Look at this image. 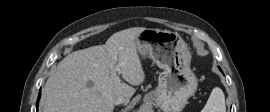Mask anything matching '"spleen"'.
I'll use <instances>...</instances> for the list:
<instances>
[{"instance_id": "obj_1", "label": "spleen", "mask_w": 270, "mask_h": 112, "mask_svg": "<svg viewBox=\"0 0 270 112\" xmlns=\"http://www.w3.org/2000/svg\"><path fill=\"white\" fill-rule=\"evenodd\" d=\"M201 112H226L225 97L223 91L215 87Z\"/></svg>"}]
</instances>
